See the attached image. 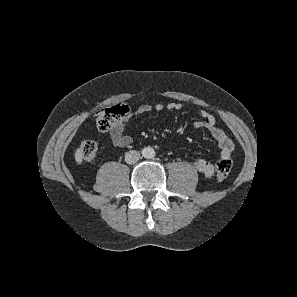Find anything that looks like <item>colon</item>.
Returning a JSON list of instances; mask_svg holds the SVG:
<instances>
[{"label":"colon","instance_id":"1","mask_svg":"<svg viewBox=\"0 0 297 297\" xmlns=\"http://www.w3.org/2000/svg\"><path fill=\"white\" fill-rule=\"evenodd\" d=\"M130 113L128 106L115 105L98 112L96 123L101 131H109L116 123L121 121ZM81 155L87 161H92L97 157L98 146L94 141L87 140L81 144ZM232 161L230 158L220 159L216 163V178L222 181L231 172Z\"/></svg>","mask_w":297,"mask_h":297}]
</instances>
